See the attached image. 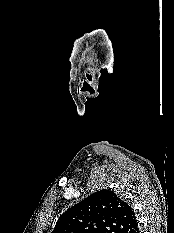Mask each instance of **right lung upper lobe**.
Listing matches in <instances>:
<instances>
[{"instance_id":"obj_1","label":"right lung upper lobe","mask_w":174,"mask_h":233,"mask_svg":"<svg viewBox=\"0 0 174 233\" xmlns=\"http://www.w3.org/2000/svg\"><path fill=\"white\" fill-rule=\"evenodd\" d=\"M52 233H139V223L131 206L102 189L65 211Z\"/></svg>"}]
</instances>
